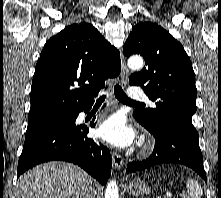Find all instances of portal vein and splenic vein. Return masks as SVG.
I'll list each match as a JSON object with an SVG mask.
<instances>
[{
    "mask_svg": "<svg viewBox=\"0 0 221 198\" xmlns=\"http://www.w3.org/2000/svg\"><path fill=\"white\" fill-rule=\"evenodd\" d=\"M171 197V195L170 194H167V198H170Z\"/></svg>",
    "mask_w": 221,
    "mask_h": 198,
    "instance_id": "1",
    "label": "portal vein and splenic vein"
}]
</instances>
